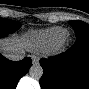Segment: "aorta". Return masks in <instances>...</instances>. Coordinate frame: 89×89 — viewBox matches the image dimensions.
I'll return each instance as SVG.
<instances>
[{"instance_id": "aorta-1", "label": "aorta", "mask_w": 89, "mask_h": 89, "mask_svg": "<svg viewBox=\"0 0 89 89\" xmlns=\"http://www.w3.org/2000/svg\"><path fill=\"white\" fill-rule=\"evenodd\" d=\"M29 75L34 79H39L43 75V68L40 65L35 64L30 68Z\"/></svg>"}]
</instances>
